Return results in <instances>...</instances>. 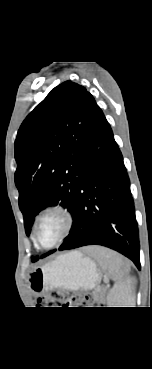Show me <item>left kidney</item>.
Masks as SVG:
<instances>
[{
  "instance_id": "1",
  "label": "left kidney",
  "mask_w": 152,
  "mask_h": 369,
  "mask_svg": "<svg viewBox=\"0 0 152 369\" xmlns=\"http://www.w3.org/2000/svg\"><path fill=\"white\" fill-rule=\"evenodd\" d=\"M122 295L118 291H112L107 296L108 307H120Z\"/></svg>"
}]
</instances>
